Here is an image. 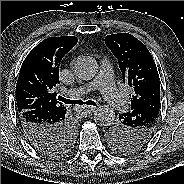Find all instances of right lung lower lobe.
<instances>
[{"label":"right lung lower lobe","instance_id":"right-lung-lower-lobe-1","mask_svg":"<svg viewBox=\"0 0 184 184\" xmlns=\"http://www.w3.org/2000/svg\"><path fill=\"white\" fill-rule=\"evenodd\" d=\"M65 114L66 111L50 113L37 109L18 113V118L29 142L41 151L59 146L65 132L73 129Z\"/></svg>","mask_w":184,"mask_h":184}]
</instances>
